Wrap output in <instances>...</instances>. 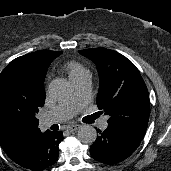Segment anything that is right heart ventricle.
<instances>
[{"mask_svg": "<svg viewBox=\"0 0 171 171\" xmlns=\"http://www.w3.org/2000/svg\"><path fill=\"white\" fill-rule=\"evenodd\" d=\"M65 70L68 73L71 80L89 73V71L82 64L76 61L67 62L65 64Z\"/></svg>", "mask_w": 171, "mask_h": 171, "instance_id": "obj_1", "label": "right heart ventricle"}]
</instances>
